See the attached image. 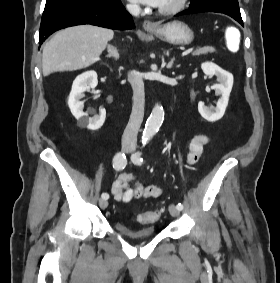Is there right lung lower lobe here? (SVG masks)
Segmentation results:
<instances>
[{"mask_svg":"<svg viewBox=\"0 0 280 283\" xmlns=\"http://www.w3.org/2000/svg\"><path fill=\"white\" fill-rule=\"evenodd\" d=\"M82 24L121 30L135 28L132 16L120 0H107L104 3L61 4L44 9L39 44L41 45L57 30Z\"/></svg>","mask_w":280,"mask_h":283,"instance_id":"right-lung-lower-lobe-1","label":"right lung lower lobe"}]
</instances>
